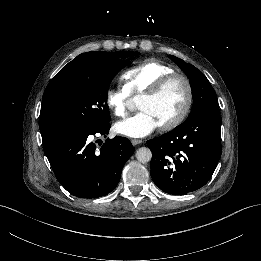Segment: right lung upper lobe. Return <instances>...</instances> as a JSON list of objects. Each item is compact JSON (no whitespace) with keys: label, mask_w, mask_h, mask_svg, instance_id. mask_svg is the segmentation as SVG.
<instances>
[{"label":"right lung upper lobe","mask_w":261,"mask_h":261,"mask_svg":"<svg viewBox=\"0 0 261 261\" xmlns=\"http://www.w3.org/2000/svg\"><path fill=\"white\" fill-rule=\"evenodd\" d=\"M128 52H103V51H93L80 54L73 61L66 64L50 81L48 84L42 100L41 112L39 117V127L41 132L50 133L53 136L63 131L62 118L55 104V96L53 91V84L57 77L69 66L76 62L88 59L102 60V61H115L120 60L118 58L126 57Z\"/></svg>","instance_id":"cb5924a9"}]
</instances>
